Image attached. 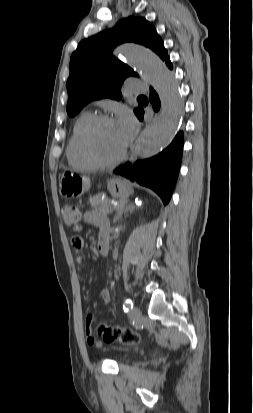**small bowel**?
Returning a JSON list of instances; mask_svg holds the SVG:
<instances>
[{"label":"small bowel","instance_id":"c3829d8e","mask_svg":"<svg viewBox=\"0 0 253 413\" xmlns=\"http://www.w3.org/2000/svg\"><path fill=\"white\" fill-rule=\"evenodd\" d=\"M84 220L87 223H91V224H95V225L99 226L100 233L109 231L108 219L106 218L105 215H103L99 212H96V211L86 212L85 215H84ZM71 244H72V247H73L75 253L79 254V252L82 248V245H83L82 238L79 235H74L72 237ZM98 296H99V299L104 303H107L110 299L109 292L106 288H102L99 291ZM93 321H94V316L93 315H88V317L86 319V341H87V344L90 345V346L99 347V346H101V342L98 341L93 336V333H92Z\"/></svg>","mask_w":253,"mask_h":413}]
</instances>
